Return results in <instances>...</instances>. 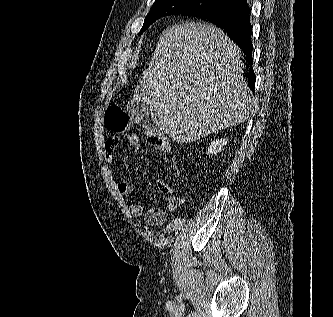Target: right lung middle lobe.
Masks as SVG:
<instances>
[{
  "label": "right lung middle lobe",
  "instance_id": "right-lung-middle-lobe-1",
  "mask_svg": "<svg viewBox=\"0 0 333 317\" xmlns=\"http://www.w3.org/2000/svg\"><path fill=\"white\" fill-rule=\"evenodd\" d=\"M229 3L228 0H155L140 33L161 17L180 14L194 16Z\"/></svg>",
  "mask_w": 333,
  "mask_h": 317
}]
</instances>
